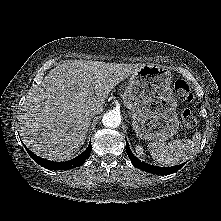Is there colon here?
Instances as JSON below:
<instances>
[{
  "mask_svg": "<svg viewBox=\"0 0 221 221\" xmlns=\"http://www.w3.org/2000/svg\"><path fill=\"white\" fill-rule=\"evenodd\" d=\"M174 92L182 102L189 103L193 100V93L189 85L183 80H177L174 84ZM182 123L186 127H193L196 124V118L189 109H185L181 114Z\"/></svg>",
  "mask_w": 221,
  "mask_h": 221,
  "instance_id": "obj_1",
  "label": "colon"
}]
</instances>
